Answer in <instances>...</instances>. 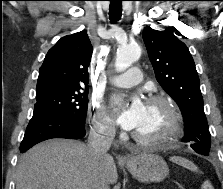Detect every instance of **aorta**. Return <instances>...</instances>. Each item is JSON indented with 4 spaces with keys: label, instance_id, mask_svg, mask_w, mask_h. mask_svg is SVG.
I'll use <instances>...</instances> for the list:
<instances>
[{
    "label": "aorta",
    "instance_id": "aorta-1",
    "mask_svg": "<svg viewBox=\"0 0 223 189\" xmlns=\"http://www.w3.org/2000/svg\"><path fill=\"white\" fill-rule=\"evenodd\" d=\"M141 56V48L138 45H127L117 51L115 66L117 71H124L136 62Z\"/></svg>",
    "mask_w": 223,
    "mask_h": 189
}]
</instances>
